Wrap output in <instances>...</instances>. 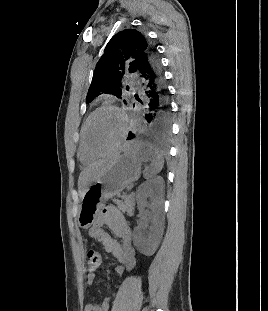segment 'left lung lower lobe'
Masks as SVG:
<instances>
[{"label":"left lung lower lobe","instance_id":"obj_1","mask_svg":"<svg viewBox=\"0 0 268 311\" xmlns=\"http://www.w3.org/2000/svg\"><path fill=\"white\" fill-rule=\"evenodd\" d=\"M149 59L140 63L141 97L144 106L140 121L129 132V142L169 141L171 109L161 62L156 52L149 47Z\"/></svg>","mask_w":268,"mask_h":311}]
</instances>
